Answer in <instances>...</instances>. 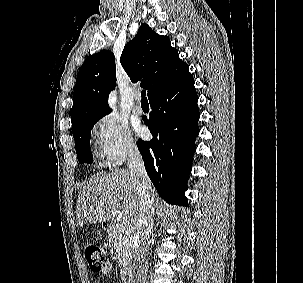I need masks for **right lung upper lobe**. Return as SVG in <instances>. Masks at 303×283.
<instances>
[{"label":"right lung upper lobe","mask_w":303,"mask_h":283,"mask_svg":"<svg viewBox=\"0 0 303 283\" xmlns=\"http://www.w3.org/2000/svg\"><path fill=\"white\" fill-rule=\"evenodd\" d=\"M121 64L132 82L142 80L148 99L175 84L188 73L167 36L156 34L142 23L122 52ZM116 85L115 57L108 50L90 56L80 68L73 94L72 130L109 114L108 95Z\"/></svg>","instance_id":"1"}]
</instances>
